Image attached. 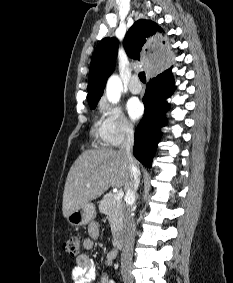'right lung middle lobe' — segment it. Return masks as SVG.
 I'll return each instance as SVG.
<instances>
[{
  "instance_id": "1",
  "label": "right lung middle lobe",
  "mask_w": 233,
  "mask_h": 283,
  "mask_svg": "<svg viewBox=\"0 0 233 283\" xmlns=\"http://www.w3.org/2000/svg\"><path fill=\"white\" fill-rule=\"evenodd\" d=\"M95 107H96V105H91L90 106L91 109H94Z\"/></svg>"
}]
</instances>
